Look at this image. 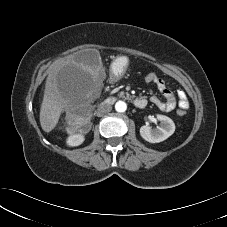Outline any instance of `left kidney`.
Returning a JSON list of instances; mask_svg holds the SVG:
<instances>
[{"instance_id": "obj_1", "label": "left kidney", "mask_w": 227, "mask_h": 227, "mask_svg": "<svg viewBox=\"0 0 227 227\" xmlns=\"http://www.w3.org/2000/svg\"><path fill=\"white\" fill-rule=\"evenodd\" d=\"M160 121V126L152 129L148 125L140 128L141 137L150 143H159L170 137L175 131V124L173 120L165 115H157Z\"/></svg>"}]
</instances>
